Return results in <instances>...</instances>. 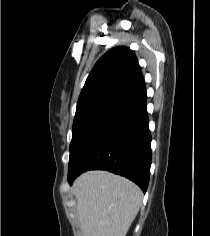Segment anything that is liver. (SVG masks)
<instances>
[{
	"instance_id": "liver-1",
	"label": "liver",
	"mask_w": 210,
	"mask_h": 236,
	"mask_svg": "<svg viewBox=\"0 0 210 236\" xmlns=\"http://www.w3.org/2000/svg\"><path fill=\"white\" fill-rule=\"evenodd\" d=\"M83 236H126L143 193L130 180L107 171H88L73 184Z\"/></svg>"
}]
</instances>
